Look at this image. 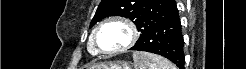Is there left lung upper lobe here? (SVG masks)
Masks as SVG:
<instances>
[{
    "label": "left lung upper lobe",
    "instance_id": "obj_1",
    "mask_svg": "<svg viewBox=\"0 0 246 69\" xmlns=\"http://www.w3.org/2000/svg\"><path fill=\"white\" fill-rule=\"evenodd\" d=\"M176 11L174 0H102L90 27L105 17L122 16L131 19L137 30L143 33Z\"/></svg>",
    "mask_w": 246,
    "mask_h": 69
}]
</instances>
